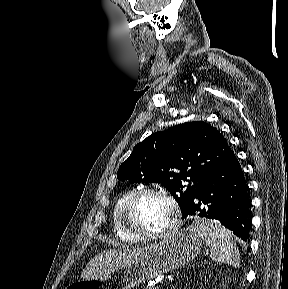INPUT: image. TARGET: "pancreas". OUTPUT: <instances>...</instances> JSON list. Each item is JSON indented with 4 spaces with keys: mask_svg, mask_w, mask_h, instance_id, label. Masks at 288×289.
<instances>
[{
    "mask_svg": "<svg viewBox=\"0 0 288 289\" xmlns=\"http://www.w3.org/2000/svg\"><path fill=\"white\" fill-rule=\"evenodd\" d=\"M143 289H153L151 286H145Z\"/></svg>",
    "mask_w": 288,
    "mask_h": 289,
    "instance_id": "1",
    "label": "pancreas"
}]
</instances>
